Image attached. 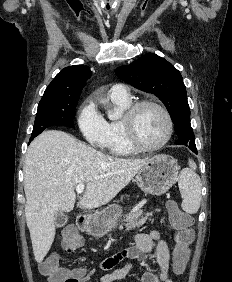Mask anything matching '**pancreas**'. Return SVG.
<instances>
[{
	"mask_svg": "<svg viewBox=\"0 0 232 282\" xmlns=\"http://www.w3.org/2000/svg\"><path fill=\"white\" fill-rule=\"evenodd\" d=\"M158 211V210H157ZM153 212L146 213L144 216L140 211L129 213L124 217L125 227L126 229H133L135 227H140L145 224L148 217L152 216ZM120 229H123V225L119 226Z\"/></svg>",
	"mask_w": 232,
	"mask_h": 282,
	"instance_id": "obj_1",
	"label": "pancreas"
}]
</instances>
